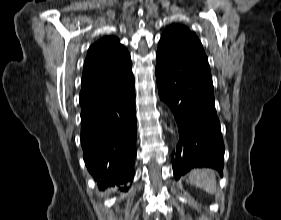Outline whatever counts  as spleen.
<instances>
[{"instance_id":"3e777b00","label":"spleen","mask_w":281,"mask_h":220,"mask_svg":"<svg viewBox=\"0 0 281 220\" xmlns=\"http://www.w3.org/2000/svg\"><path fill=\"white\" fill-rule=\"evenodd\" d=\"M187 183L205 190L208 193L217 192L215 174L210 169H196L189 173Z\"/></svg>"}]
</instances>
